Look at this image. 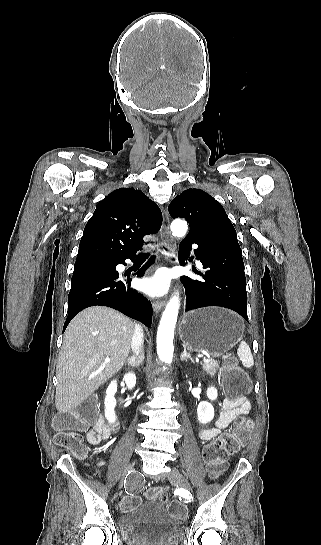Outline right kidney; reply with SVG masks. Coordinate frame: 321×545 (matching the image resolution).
Returning <instances> with one entry per match:
<instances>
[{
    "instance_id": "right-kidney-1",
    "label": "right kidney",
    "mask_w": 321,
    "mask_h": 545,
    "mask_svg": "<svg viewBox=\"0 0 321 545\" xmlns=\"http://www.w3.org/2000/svg\"><path fill=\"white\" fill-rule=\"evenodd\" d=\"M126 383L127 389H133L136 385V375L134 373H126L124 375V379ZM115 393H117V381H111L107 391H106V397L104 401L105 405V417L109 423H114L116 421V415H115V407H116V399L114 397Z\"/></svg>"
}]
</instances>
